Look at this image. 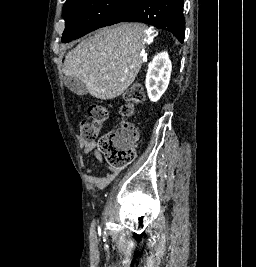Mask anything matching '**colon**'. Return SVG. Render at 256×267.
Returning <instances> with one entry per match:
<instances>
[{
    "label": "colon",
    "instance_id": "obj_1",
    "mask_svg": "<svg viewBox=\"0 0 256 267\" xmlns=\"http://www.w3.org/2000/svg\"><path fill=\"white\" fill-rule=\"evenodd\" d=\"M125 102L120 106V116L128 118L135 112L134 105L141 104L144 88L141 84H133L124 94ZM110 108L107 105L92 106L88 110V118L79 122L83 139L95 138L109 118ZM139 131L131 123H122L118 131L104 135L99 141V149L105 155L107 163L114 167L130 164L136 155Z\"/></svg>",
    "mask_w": 256,
    "mask_h": 267
}]
</instances>
